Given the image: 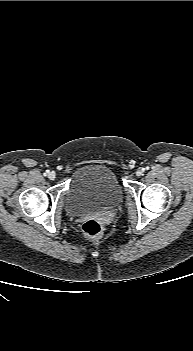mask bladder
<instances>
[{
  "label": "bladder",
  "mask_w": 193,
  "mask_h": 351,
  "mask_svg": "<svg viewBox=\"0 0 193 351\" xmlns=\"http://www.w3.org/2000/svg\"><path fill=\"white\" fill-rule=\"evenodd\" d=\"M122 196L114 172L102 164H88L73 176L66 209L73 214L101 211L116 205Z\"/></svg>",
  "instance_id": "bladder-1"
}]
</instances>
